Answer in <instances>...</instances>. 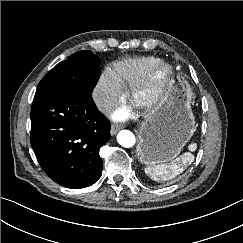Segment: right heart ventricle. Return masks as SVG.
<instances>
[{
	"instance_id": "e07e8e85",
	"label": "right heart ventricle",
	"mask_w": 243,
	"mask_h": 243,
	"mask_svg": "<svg viewBox=\"0 0 243 243\" xmlns=\"http://www.w3.org/2000/svg\"><path fill=\"white\" fill-rule=\"evenodd\" d=\"M158 60L159 58L154 56L128 57L109 64L106 72L122 90H127Z\"/></svg>"
}]
</instances>
